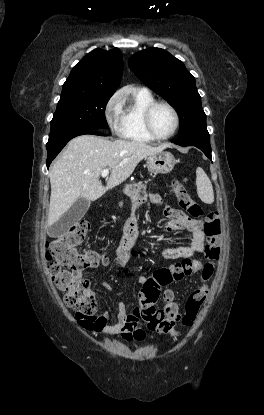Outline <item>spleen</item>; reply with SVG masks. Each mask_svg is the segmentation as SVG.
Masks as SVG:
<instances>
[{
    "label": "spleen",
    "instance_id": "1",
    "mask_svg": "<svg viewBox=\"0 0 264 415\" xmlns=\"http://www.w3.org/2000/svg\"><path fill=\"white\" fill-rule=\"evenodd\" d=\"M196 185L199 198L206 204L214 202L212 183L201 167L196 169Z\"/></svg>",
    "mask_w": 264,
    "mask_h": 415
}]
</instances>
